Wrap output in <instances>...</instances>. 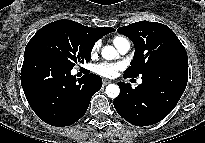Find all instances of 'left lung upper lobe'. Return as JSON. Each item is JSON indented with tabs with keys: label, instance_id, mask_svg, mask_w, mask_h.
Returning <instances> with one entry per match:
<instances>
[{
	"label": "left lung upper lobe",
	"instance_id": "left-lung-upper-lobe-1",
	"mask_svg": "<svg viewBox=\"0 0 205 143\" xmlns=\"http://www.w3.org/2000/svg\"><path fill=\"white\" fill-rule=\"evenodd\" d=\"M118 32L130 38L135 45L134 59L124 72L125 77L146 74L156 65L185 60L187 52L176 34L166 25L140 21L118 28Z\"/></svg>",
	"mask_w": 205,
	"mask_h": 143
}]
</instances>
